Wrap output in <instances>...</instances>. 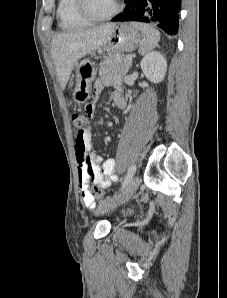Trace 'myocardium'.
I'll list each match as a JSON object with an SVG mask.
<instances>
[{
  "label": "myocardium",
  "instance_id": "myocardium-1",
  "mask_svg": "<svg viewBox=\"0 0 227 298\" xmlns=\"http://www.w3.org/2000/svg\"><path fill=\"white\" fill-rule=\"evenodd\" d=\"M76 1H77V10L80 16L92 23H99V22H104L112 19L122 10V7H123L121 0H117V4L115 8L110 13L104 16H97L90 11L88 6V0H76Z\"/></svg>",
  "mask_w": 227,
  "mask_h": 298
}]
</instances>
